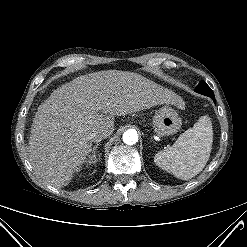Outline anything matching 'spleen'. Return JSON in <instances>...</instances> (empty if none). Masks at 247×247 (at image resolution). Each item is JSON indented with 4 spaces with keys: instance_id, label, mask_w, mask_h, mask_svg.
<instances>
[{
    "instance_id": "3e777b00",
    "label": "spleen",
    "mask_w": 247,
    "mask_h": 247,
    "mask_svg": "<svg viewBox=\"0 0 247 247\" xmlns=\"http://www.w3.org/2000/svg\"><path fill=\"white\" fill-rule=\"evenodd\" d=\"M213 128L209 116H202L182 133L172 147L158 152L154 162L178 179L188 180L205 167L211 153Z\"/></svg>"
}]
</instances>
